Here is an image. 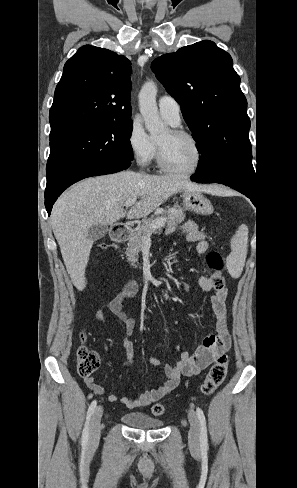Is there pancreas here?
Masks as SVG:
<instances>
[{
    "label": "pancreas",
    "instance_id": "obj_1",
    "mask_svg": "<svg viewBox=\"0 0 297 488\" xmlns=\"http://www.w3.org/2000/svg\"><path fill=\"white\" fill-rule=\"evenodd\" d=\"M156 218H148L144 219L142 225L133 232V234L129 237V242L127 244L126 249V256L127 260L131 263L132 266H136L135 263L138 262V253L142 247L143 241L146 239L147 234L154 233L156 230H160L165 224L168 225H177L182 223L185 219V214L182 208L179 206H173L169 208L167 211L161 210L160 212H156ZM163 220V224L158 226L157 228H152V223L155 220Z\"/></svg>",
    "mask_w": 297,
    "mask_h": 488
}]
</instances>
